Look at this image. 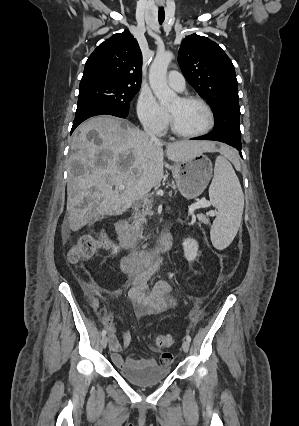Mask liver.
Returning <instances> with one entry per match:
<instances>
[{
  "mask_svg": "<svg viewBox=\"0 0 299 426\" xmlns=\"http://www.w3.org/2000/svg\"><path fill=\"white\" fill-rule=\"evenodd\" d=\"M97 132L88 139L90 131ZM164 143L151 142L147 133L121 120L100 116L82 123L74 132L68 161L67 219L77 231L95 217L129 209L158 186L163 178ZM229 149L211 141H178L166 144V156L174 162L186 161L203 152ZM83 172L74 175L73 166ZM125 189L120 192L117 185ZM115 186V188H113Z\"/></svg>",
  "mask_w": 299,
  "mask_h": 426,
  "instance_id": "1",
  "label": "liver"
}]
</instances>
